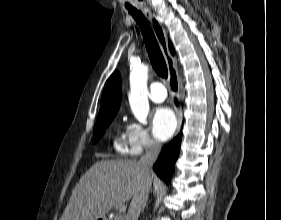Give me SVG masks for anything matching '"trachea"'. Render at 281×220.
<instances>
[{
  "label": "trachea",
  "mask_w": 281,
  "mask_h": 220,
  "mask_svg": "<svg viewBox=\"0 0 281 220\" xmlns=\"http://www.w3.org/2000/svg\"><path fill=\"white\" fill-rule=\"evenodd\" d=\"M129 13L133 16L141 29L153 69L160 77L167 79V65L150 25L141 12L137 10H129Z\"/></svg>",
  "instance_id": "obj_1"
}]
</instances>
